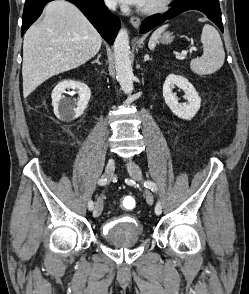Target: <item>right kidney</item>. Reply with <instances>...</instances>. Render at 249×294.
Here are the masks:
<instances>
[{"instance_id":"1","label":"right kidney","mask_w":249,"mask_h":294,"mask_svg":"<svg viewBox=\"0 0 249 294\" xmlns=\"http://www.w3.org/2000/svg\"><path fill=\"white\" fill-rule=\"evenodd\" d=\"M66 89H77L79 93L78 101L62 95ZM90 96L91 91L86 84L75 80H63L55 86L51 94L54 114L66 121L74 120L83 114Z\"/></svg>"}]
</instances>
